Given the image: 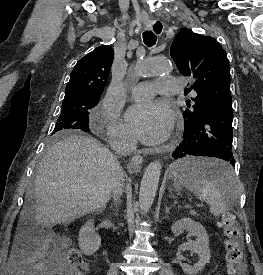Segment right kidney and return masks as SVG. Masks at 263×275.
Masks as SVG:
<instances>
[{"mask_svg": "<svg viewBox=\"0 0 263 275\" xmlns=\"http://www.w3.org/2000/svg\"><path fill=\"white\" fill-rule=\"evenodd\" d=\"M79 247L85 255L94 254L101 245V238L95 232L93 220H89L79 231Z\"/></svg>", "mask_w": 263, "mask_h": 275, "instance_id": "1", "label": "right kidney"}]
</instances>
